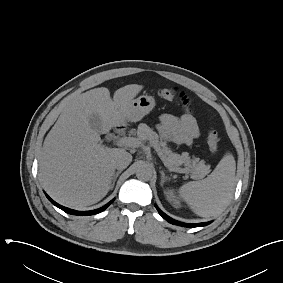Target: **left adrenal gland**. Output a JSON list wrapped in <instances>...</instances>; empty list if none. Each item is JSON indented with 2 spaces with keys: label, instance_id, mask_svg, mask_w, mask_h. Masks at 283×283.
Here are the masks:
<instances>
[{
  "label": "left adrenal gland",
  "instance_id": "left-adrenal-gland-1",
  "mask_svg": "<svg viewBox=\"0 0 283 283\" xmlns=\"http://www.w3.org/2000/svg\"><path fill=\"white\" fill-rule=\"evenodd\" d=\"M160 174H161V186H163L164 182L167 181V180H170L169 177H167L164 173V171H160Z\"/></svg>",
  "mask_w": 283,
  "mask_h": 283
}]
</instances>
